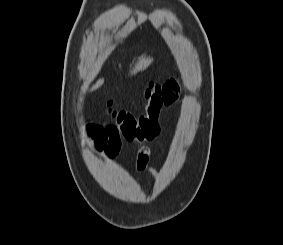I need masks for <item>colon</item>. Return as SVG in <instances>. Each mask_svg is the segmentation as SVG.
<instances>
[{
  "instance_id": "5ec220e1",
  "label": "colon",
  "mask_w": 283,
  "mask_h": 245,
  "mask_svg": "<svg viewBox=\"0 0 283 245\" xmlns=\"http://www.w3.org/2000/svg\"><path fill=\"white\" fill-rule=\"evenodd\" d=\"M162 106V85L150 82L144 92V107L140 115L112 108L109 109V115L113 126L125 140L138 144L149 143L160 133L158 120Z\"/></svg>"
}]
</instances>
